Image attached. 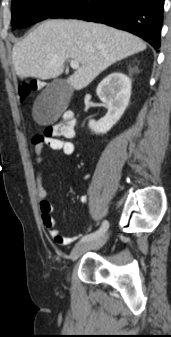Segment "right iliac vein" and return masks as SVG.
Instances as JSON below:
<instances>
[{
	"label": "right iliac vein",
	"instance_id": "obj_1",
	"mask_svg": "<svg viewBox=\"0 0 171 337\" xmlns=\"http://www.w3.org/2000/svg\"><path fill=\"white\" fill-rule=\"evenodd\" d=\"M107 239H108V234H105L95 240L80 242L76 244L75 247L71 251L70 258L72 260H76L78 257H80L82 254H84L88 250L99 249L101 246L104 245Z\"/></svg>",
	"mask_w": 171,
	"mask_h": 337
}]
</instances>
